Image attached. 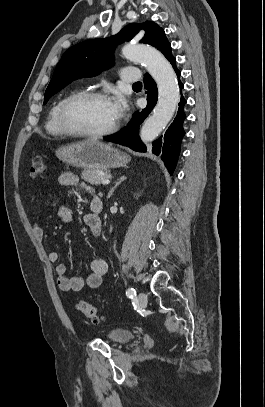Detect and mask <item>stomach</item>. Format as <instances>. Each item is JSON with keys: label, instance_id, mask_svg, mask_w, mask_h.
<instances>
[{"label": "stomach", "instance_id": "stomach-1", "mask_svg": "<svg viewBox=\"0 0 265 407\" xmlns=\"http://www.w3.org/2000/svg\"><path fill=\"white\" fill-rule=\"evenodd\" d=\"M56 156L78 168L106 170L125 166L130 156L111 145L88 140L59 147Z\"/></svg>", "mask_w": 265, "mask_h": 407}]
</instances>
